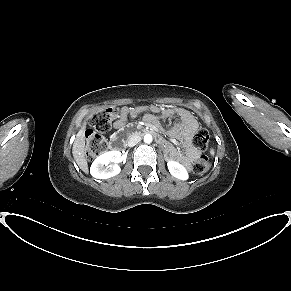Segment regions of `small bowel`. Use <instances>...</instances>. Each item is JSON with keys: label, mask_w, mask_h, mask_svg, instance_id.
Listing matches in <instances>:
<instances>
[{"label": "small bowel", "mask_w": 291, "mask_h": 291, "mask_svg": "<svg viewBox=\"0 0 291 291\" xmlns=\"http://www.w3.org/2000/svg\"><path fill=\"white\" fill-rule=\"evenodd\" d=\"M145 110L146 108L143 106L135 108L124 107L122 109L121 118L113 124V128L118 131L123 129L128 116L135 118L142 114ZM151 111L155 113L160 112L164 118L175 117L177 121H180L177 126L169 130V135L172 138L182 141L183 151H180L173 145H167L166 154L168 158L171 160L180 161L185 166H188L192 161L196 160L199 152L191 145L190 139L192 135L198 130L199 125L192 113L183 108L159 109L157 107H152ZM144 120L154 126H160L159 117L154 114H145Z\"/></svg>", "instance_id": "obj_1"}]
</instances>
